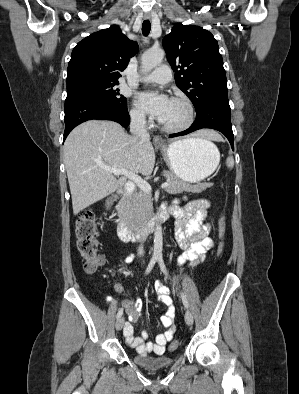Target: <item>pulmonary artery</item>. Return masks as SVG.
Masks as SVG:
<instances>
[{
    "instance_id": "obj_1",
    "label": "pulmonary artery",
    "mask_w": 299,
    "mask_h": 394,
    "mask_svg": "<svg viewBox=\"0 0 299 394\" xmlns=\"http://www.w3.org/2000/svg\"><path fill=\"white\" fill-rule=\"evenodd\" d=\"M142 80L157 84H167L171 80V70L168 66L161 65L150 74L144 76Z\"/></svg>"
}]
</instances>
